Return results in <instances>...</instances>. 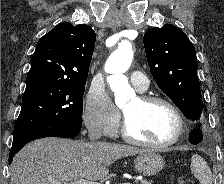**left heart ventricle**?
<instances>
[{
    "instance_id": "1",
    "label": "left heart ventricle",
    "mask_w": 224,
    "mask_h": 184,
    "mask_svg": "<svg viewBox=\"0 0 224 184\" xmlns=\"http://www.w3.org/2000/svg\"><path fill=\"white\" fill-rule=\"evenodd\" d=\"M129 122V129L135 137L163 143L170 140L177 129V119L173 111L164 104L144 105L135 98L123 107Z\"/></svg>"
}]
</instances>
